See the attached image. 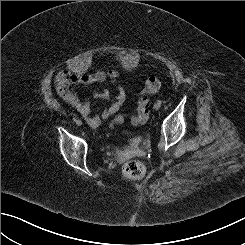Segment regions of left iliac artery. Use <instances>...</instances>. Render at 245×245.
Instances as JSON below:
<instances>
[{"instance_id":"44dca946","label":"left iliac artery","mask_w":245,"mask_h":245,"mask_svg":"<svg viewBox=\"0 0 245 245\" xmlns=\"http://www.w3.org/2000/svg\"><path fill=\"white\" fill-rule=\"evenodd\" d=\"M157 104L161 105L162 104V101L161 100H158L157 101Z\"/></svg>"}]
</instances>
